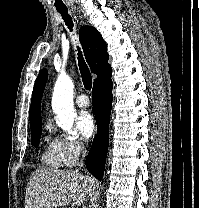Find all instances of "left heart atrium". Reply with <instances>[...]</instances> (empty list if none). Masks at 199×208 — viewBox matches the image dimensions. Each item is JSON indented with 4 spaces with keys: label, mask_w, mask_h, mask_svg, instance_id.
I'll return each mask as SVG.
<instances>
[{
    "label": "left heart atrium",
    "mask_w": 199,
    "mask_h": 208,
    "mask_svg": "<svg viewBox=\"0 0 199 208\" xmlns=\"http://www.w3.org/2000/svg\"><path fill=\"white\" fill-rule=\"evenodd\" d=\"M76 125L79 133L84 139H89L95 132V121L89 111H81L77 116Z\"/></svg>",
    "instance_id": "obj_1"
}]
</instances>
